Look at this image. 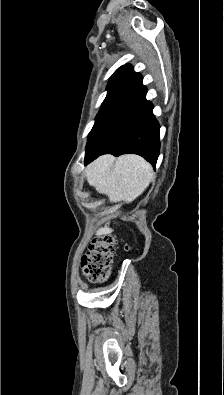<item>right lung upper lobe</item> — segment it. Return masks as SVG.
Returning a JSON list of instances; mask_svg holds the SVG:
<instances>
[{"label": "right lung upper lobe", "instance_id": "cb5924a9", "mask_svg": "<svg viewBox=\"0 0 224 395\" xmlns=\"http://www.w3.org/2000/svg\"><path fill=\"white\" fill-rule=\"evenodd\" d=\"M121 69H122V66H121L120 68H118V69L115 71L114 74H118V73L121 71ZM114 74H113V75H114Z\"/></svg>", "mask_w": 224, "mask_h": 395}]
</instances>
